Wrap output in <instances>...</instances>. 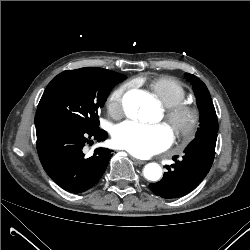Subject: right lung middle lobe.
I'll return each mask as SVG.
<instances>
[{"label":"right lung middle lobe","instance_id":"1","mask_svg":"<svg viewBox=\"0 0 250 250\" xmlns=\"http://www.w3.org/2000/svg\"><path fill=\"white\" fill-rule=\"evenodd\" d=\"M124 79L125 75L93 67L58 74L41 97L35 124L45 121L99 129L98 111L112 88Z\"/></svg>","mask_w":250,"mask_h":250}]
</instances>
